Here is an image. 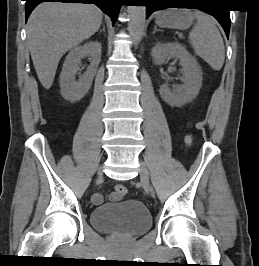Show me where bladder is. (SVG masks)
Listing matches in <instances>:
<instances>
[{
    "label": "bladder",
    "mask_w": 259,
    "mask_h": 266,
    "mask_svg": "<svg viewBox=\"0 0 259 266\" xmlns=\"http://www.w3.org/2000/svg\"><path fill=\"white\" fill-rule=\"evenodd\" d=\"M90 222L99 232L137 236L150 229L152 217L142 202L129 199L115 205L94 208Z\"/></svg>",
    "instance_id": "bladder-1"
}]
</instances>
